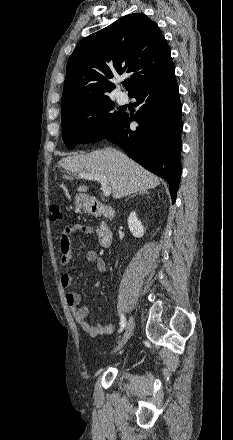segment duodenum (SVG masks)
I'll list each match as a JSON object with an SVG mask.
<instances>
[{
    "instance_id": "obj_1",
    "label": "duodenum",
    "mask_w": 233,
    "mask_h": 440,
    "mask_svg": "<svg viewBox=\"0 0 233 440\" xmlns=\"http://www.w3.org/2000/svg\"><path fill=\"white\" fill-rule=\"evenodd\" d=\"M90 214L95 217H104L110 219L114 216V209L100 202H93L90 206ZM99 244L102 247H109L113 241V233L106 226L101 225L98 232Z\"/></svg>"
}]
</instances>
